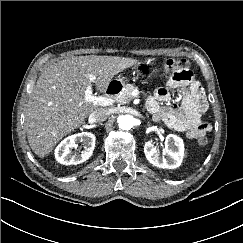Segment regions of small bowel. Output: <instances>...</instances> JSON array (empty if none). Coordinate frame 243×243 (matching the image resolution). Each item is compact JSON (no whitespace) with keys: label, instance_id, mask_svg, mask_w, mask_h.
<instances>
[{"label":"small bowel","instance_id":"1","mask_svg":"<svg viewBox=\"0 0 243 243\" xmlns=\"http://www.w3.org/2000/svg\"><path fill=\"white\" fill-rule=\"evenodd\" d=\"M173 90H179L180 103L161 105L171 101ZM207 106L205 93L191 71L183 79L170 78L166 86L156 89L146 102V108L154 120L162 121L169 128L184 133L190 139H197L210 131V125L202 121Z\"/></svg>","mask_w":243,"mask_h":243}]
</instances>
